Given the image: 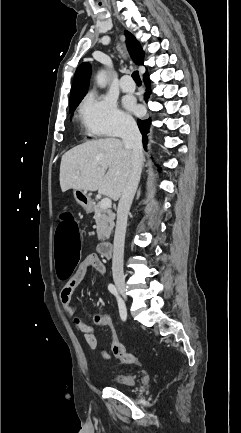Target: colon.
I'll list each match as a JSON object with an SVG mask.
<instances>
[{
  "instance_id": "1",
  "label": "colon",
  "mask_w": 241,
  "mask_h": 433,
  "mask_svg": "<svg viewBox=\"0 0 241 433\" xmlns=\"http://www.w3.org/2000/svg\"><path fill=\"white\" fill-rule=\"evenodd\" d=\"M58 225L53 226V247L55 252V272L61 279H66L71 272H74L76 262L79 261L80 232L79 222L73 214L58 212L56 215ZM100 313L93 314V324L98 327ZM111 351L115 358L123 363L132 364L136 362L133 354L126 351L123 344L116 340L111 345Z\"/></svg>"
}]
</instances>
